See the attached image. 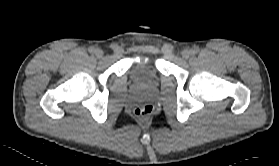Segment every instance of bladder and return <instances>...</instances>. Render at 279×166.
Here are the masks:
<instances>
[{
  "label": "bladder",
  "instance_id": "31cf9c89",
  "mask_svg": "<svg viewBox=\"0 0 279 166\" xmlns=\"http://www.w3.org/2000/svg\"><path fill=\"white\" fill-rule=\"evenodd\" d=\"M130 73L137 82L146 86H154L159 75L156 63L152 60L135 63L131 67Z\"/></svg>",
  "mask_w": 279,
  "mask_h": 166
}]
</instances>
